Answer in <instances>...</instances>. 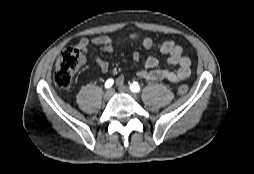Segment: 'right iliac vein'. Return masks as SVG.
Here are the masks:
<instances>
[{
    "label": "right iliac vein",
    "instance_id": "obj_1",
    "mask_svg": "<svg viewBox=\"0 0 254 174\" xmlns=\"http://www.w3.org/2000/svg\"><path fill=\"white\" fill-rule=\"evenodd\" d=\"M112 95H113V90H112V89H109V90H107V91L105 92V94H104V99H105V100H109V99L112 97Z\"/></svg>",
    "mask_w": 254,
    "mask_h": 174
}]
</instances>
